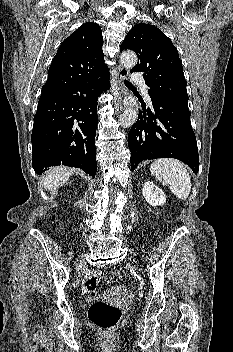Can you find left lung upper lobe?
Masks as SVG:
<instances>
[{
    "mask_svg": "<svg viewBox=\"0 0 233 352\" xmlns=\"http://www.w3.org/2000/svg\"><path fill=\"white\" fill-rule=\"evenodd\" d=\"M131 49L138 62L131 72H142L148 93L188 108V94L178 51L157 27L135 25L126 35L120 50Z\"/></svg>",
    "mask_w": 233,
    "mask_h": 352,
    "instance_id": "5c2ea615",
    "label": "left lung upper lobe"
}]
</instances>
